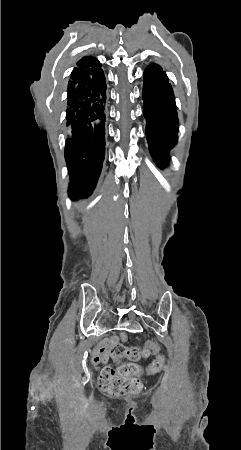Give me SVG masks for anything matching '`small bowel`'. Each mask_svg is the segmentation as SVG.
<instances>
[{
  "instance_id": "c3829d8e",
  "label": "small bowel",
  "mask_w": 241,
  "mask_h": 450,
  "mask_svg": "<svg viewBox=\"0 0 241 450\" xmlns=\"http://www.w3.org/2000/svg\"><path fill=\"white\" fill-rule=\"evenodd\" d=\"M122 340L125 341L126 340V333H122L121 335ZM115 340L118 342V338L113 336L110 339L104 340L102 341L99 346L92 352L91 354V361L94 364H100V363H107V361L109 360V346L110 343Z\"/></svg>"
}]
</instances>
